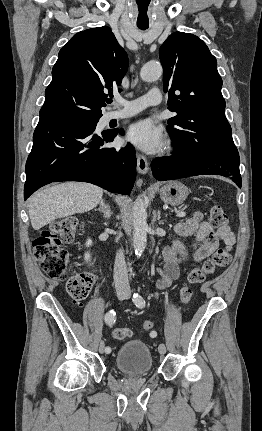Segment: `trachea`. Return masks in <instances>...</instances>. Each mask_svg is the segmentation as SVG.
Segmentation results:
<instances>
[{
    "instance_id": "1",
    "label": "trachea",
    "mask_w": 262,
    "mask_h": 431,
    "mask_svg": "<svg viewBox=\"0 0 262 431\" xmlns=\"http://www.w3.org/2000/svg\"><path fill=\"white\" fill-rule=\"evenodd\" d=\"M137 7L139 14L146 15L149 7V2H147V0H137ZM138 28H140L141 30H146L148 26H138ZM107 103H112V100L109 99Z\"/></svg>"
}]
</instances>
